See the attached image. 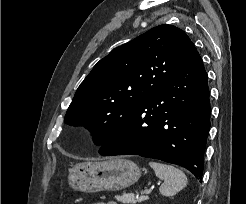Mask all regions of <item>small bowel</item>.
Listing matches in <instances>:
<instances>
[{
  "instance_id": "c3829d8e",
  "label": "small bowel",
  "mask_w": 246,
  "mask_h": 204,
  "mask_svg": "<svg viewBox=\"0 0 246 204\" xmlns=\"http://www.w3.org/2000/svg\"><path fill=\"white\" fill-rule=\"evenodd\" d=\"M95 204H117V203L114 202V201H110V202H107V203H95Z\"/></svg>"
}]
</instances>
